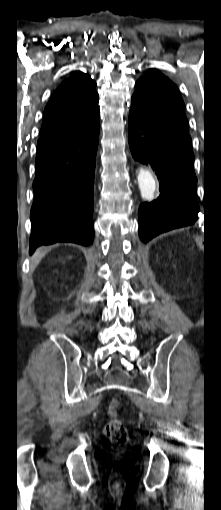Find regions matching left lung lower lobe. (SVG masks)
Here are the masks:
<instances>
[{"instance_id":"left-lung-lower-lobe-1","label":"left lung lower lobe","mask_w":221,"mask_h":510,"mask_svg":"<svg viewBox=\"0 0 221 510\" xmlns=\"http://www.w3.org/2000/svg\"><path fill=\"white\" fill-rule=\"evenodd\" d=\"M129 145L133 158L151 167L160 181V195L139 207V236L143 242L172 229L194 224L198 218L192 147L172 139L131 107Z\"/></svg>"}]
</instances>
